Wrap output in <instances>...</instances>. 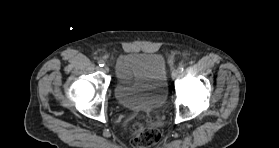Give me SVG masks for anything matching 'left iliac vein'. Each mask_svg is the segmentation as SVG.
<instances>
[{
	"instance_id": "1",
	"label": "left iliac vein",
	"mask_w": 279,
	"mask_h": 148,
	"mask_svg": "<svg viewBox=\"0 0 279 148\" xmlns=\"http://www.w3.org/2000/svg\"><path fill=\"white\" fill-rule=\"evenodd\" d=\"M179 74H180V71H179V69H174L173 71H172V78H177L178 76H179Z\"/></svg>"
}]
</instances>
